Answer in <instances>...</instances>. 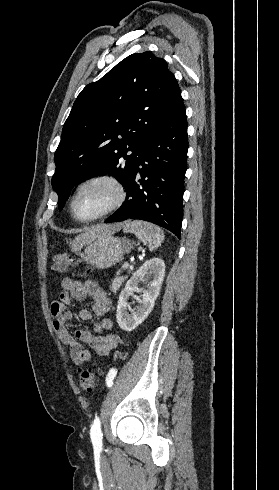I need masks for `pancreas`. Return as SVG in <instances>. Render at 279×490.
<instances>
[{
  "label": "pancreas",
  "mask_w": 279,
  "mask_h": 490,
  "mask_svg": "<svg viewBox=\"0 0 279 490\" xmlns=\"http://www.w3.org/2000/svg\"><path fill=\"white\" fill-rule=\"evenodd\" d=\"M125 278H122V276H119V272H117V276L115 280L112 282L111 290L113 292H117L118 288H120L122 282H124Z\"/></svg>",
  "instance_id": "1"
}]
</instances>
